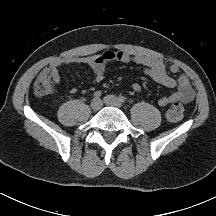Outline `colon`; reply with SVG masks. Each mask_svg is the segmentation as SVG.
Masks as SVG:
<instances>
[{
    "mask_svg": "<svg viewBox=\"0 0 216 216\" xmlns=\"http://www.w3.org/2000/svg\"><path fill=\"white\" fill-rule=\"evenodd\" d=\"M54 89V76L50 71H43L34 81L33 93L38 98H43L52 93ZM184 115L182 104H173L166 113L169 122H179Z\"/></svg>",
    "mask_w": 216,
    "mask_h": 216,
    "instance_id": "1",
    "label": "colon"
}]
</instances>
